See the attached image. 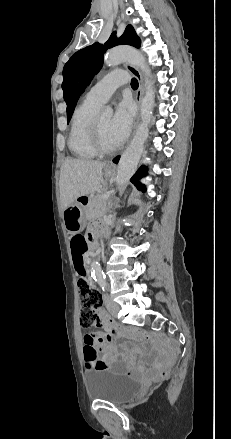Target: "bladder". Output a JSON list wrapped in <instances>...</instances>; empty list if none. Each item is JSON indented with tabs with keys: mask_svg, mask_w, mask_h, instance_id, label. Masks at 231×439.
I'll return each instance as SVG.
<instances>
[{
	"mask_svg": "<svg viewBox=\"0 0 231 439\" xmlns=\"http://www.w3.org/2000/svg\"><path fill=\"white\" fill-rule=\"evenodd\" d=\"M84 379L91 399L115 404L137 395L141 388L138 379L119 374L112 369L89 368Z\"/></svg>",
	"mask_w": 231,
	"mask_h": 439,
	"instance_id": "obj_1",
	"label": "bladder"
}]
</instances>
